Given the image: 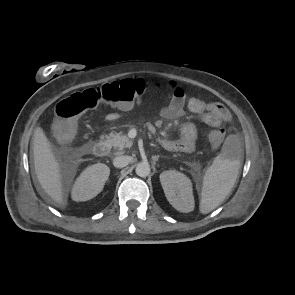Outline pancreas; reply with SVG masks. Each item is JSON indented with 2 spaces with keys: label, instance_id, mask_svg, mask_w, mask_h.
I'll use <instances>...</instances> for the list:
<instances>
[{
  "label": "pancreas",
  "instance_id": "cf45deb5",
  "mask_svg": "<svg viewBox=\"0 0 295 295\" xmlns=\"http://www.w3.org/2000/svg\"><path fill=\"white\" fill-rule=\"evenodd\" d=\"M107 143L114 149L123 151L125 148H130L133 142L121 133L112 132L105 136Z\"/></svg>",
  "mask_w": 295,
  "mask_h": 295
}]
</instances>
